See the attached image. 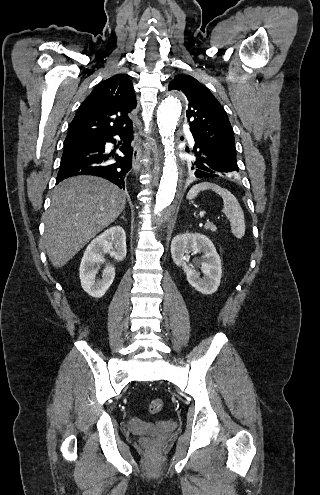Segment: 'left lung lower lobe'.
<instances>
[{
	"label": "left lung lower lobe",
	"instance_id": "0a47b994",
	"mask_svg": "<svg viewBox=\"0 0 320 495\" xmlns=\"http://www.w3.org/2000/svg\"><path fill=\"white\" fill-rule=\"evenodd\" d=\"M194 141L193 153L195 154V161L190 169L193 175L197 178L237 176L239 168L236 157L212 148L195 137Z\"/></svg>",
	"mask_w": 320,
	"mask_h": 495
}]
</instances>
